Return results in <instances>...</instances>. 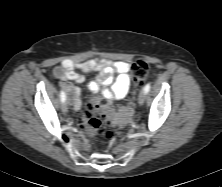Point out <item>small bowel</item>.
Listing matches in <instances>:
<instances>
[{
    "instance_id": "1",
    "label": "small bowel",
    "mask_w": 222,
    "mask_h": 187,
    "mask_svg": "<svg viewBox=\"0 0 222 187\" xmlns=\"http://www.w3.org/2000/svg\"><path fill=\"white\" fill-rule=\"evenodd\" d=\"M93 71L98 72V77L88 83L87 88L90 92H100L108 100L123 99L128 93L130 77L127 62L92 59L77 63L64 60L53 70V76L60 80L61 86L70 94L71 104L76 111L80 110L82 105L81 90L71 82L83 83L85 76L82 73ZM114 75L116 78L113 82Z\"/></svg>"
}]
</instances>
